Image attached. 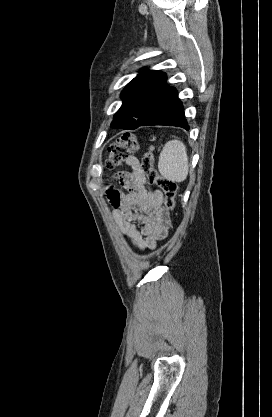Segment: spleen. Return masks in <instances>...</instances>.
Listing matches in <instances>:
<instances>
[{
  "label": "spleen",
  "mask_w": 272,
  "mask_h": 417,
  "mask_svg": "<svg viewBox=\"0 0 272 417\" xmlns=\"http://www.w3.org/2000/svg\"><path fill=\"white\" fill-rule=\"evenodd\" d=\"M160 174L172 182H183L188 175V156L186 146L180 140L168 141L159 156Z\"/></svg>",
  "instance_id": "3e777b00"
}]
</instances>
